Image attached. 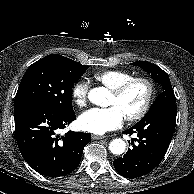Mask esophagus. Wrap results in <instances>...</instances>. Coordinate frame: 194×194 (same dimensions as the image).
<instances>
[{
  "label": "esophagus",
  "mask_w": 194,
  "mask_h": 194,
  "mask_svg": "<svg viewBox=\"0 0 194 194\" xmlns=\"http://www.w3.org/2000/svg\"><path fill=\"white\" fill-rule=\"evenodd\" d=\"M106 136H103V135H95V134H92L91 135V138L93 139V140H99V139H103V138H105Z\"/></svg>",
  "instance_id": "esophagus-1"
}]
</instances>
